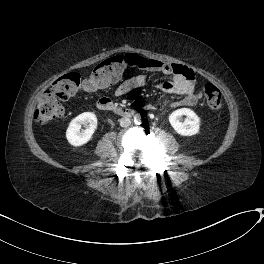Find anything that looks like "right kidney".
I'll return each mask as SVG.
<instances>
[{
    "label": "right kidney",
    "instance_id": "obj_1",
    "mask_svg": "<svg viewBox=\"0 0 264 264\" xmlns=\"http://www.w3.org/2000/svg\"><path fill=\"white\" fill-rule=\"evenodd\" d=\"M82 126L86 129L81 131ZM96 128V115L92 112H84L70 122L66 131V138L71 145L82 146L92 138Z\"/></svg>",
    "mask_w": 264,
    "mask_h": 264
}]
</instances>
